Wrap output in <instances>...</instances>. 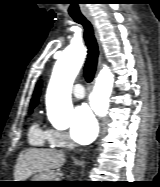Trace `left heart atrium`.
Listing matches in <instances>:
<instances>
[{
    "label": "left heart atrium",
    "instance_id": "obj_1",
    "mask_svg": "<svg viewBox=\"0 0 160 187\" xmlns=\"http://www.w3.org/2000/svg\"><path fill=\"white\" fill-rule=\"evenodd\" d=\"M97 132L98 124L90 107L86 104L78 106L71 123L72 138L80 144H88L95 139Z\"/></svg>",
    "mask_w": 160,
    "mask_h": 187
}]
</instances>
